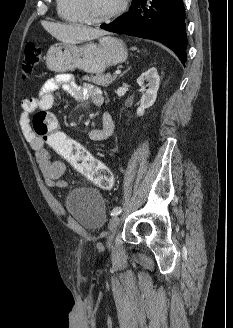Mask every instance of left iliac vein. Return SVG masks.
Segmentation results:
<instances>
[{
    "label": "left iliac vein",
    "mask_w": 233,
    "mask_h": 328,
    "mask_svg": "<svg viewBox=\"0 0 233 328\" xmlns=\"http://www.w3.org/2000/svg\"><path fill=\"white\" fill-rule=\"evenodd\" d=\"M121 222V217L119 216H115L113 217L110 222H109V230L111 232L109 238H108V241H107V246L110 248L111 247V244H112V241H113V238H114V235L116 233V230H117V227L118 225L120 224Z\"/></svg>",
    "instance_id": "4c4485c4"
}]
</instances>
